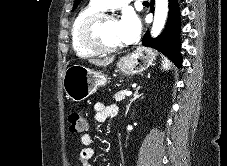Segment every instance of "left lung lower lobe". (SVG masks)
<instances>
[{
  "label": "left lung lower lobe",
  "mask_w": 227,
  "mask_h": 166,
  "mask_svg": "<svg viewBox=\"0 0 227 166\" xmlns=\"http://www.w3.org/2000/svg\"><path fill=\"white\" fill-rule=\"evenodd\" d=\"M153 5L154 0H151L152 10ZM179 33L180 21L177 0H169V15L164 31L155 39H152L147 32L142 39V44L162 52L180 68L182 66V57L180 54Z\"/></svg>",
  "instance_id": "0a47b994"
}]
</instances>
